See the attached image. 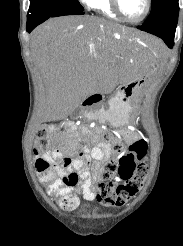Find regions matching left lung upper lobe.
Returning <instances> with one entry per match:
<instances>
[{"label":"left lung upper lobe","instance_id":"5c2ea615","mask_svg":"<svg viewBox=\"0 0 183 246\" xmlns=\"http://www.w3.org/2000/svg\"><path fill=\"white\" fill-rule=\"evenodd\" d=\"M179 11L178 0H152L150 15L142 26H148L162 21Z\"/></svg>","mask_w":183,"mask_h":246}]
</instances>
